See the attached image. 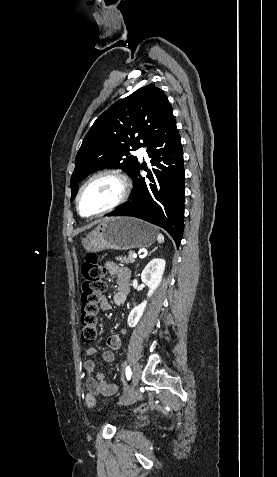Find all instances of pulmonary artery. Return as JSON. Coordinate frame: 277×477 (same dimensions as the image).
<instances>
[{
    "mask_svg": "<svg viewBox=\"0 0 277 477\" xmlns=\"http://www.w3.org/2000/svg\"><path fill=\"white\" fill-rule=\"evenodd\" d=\"M137 155L140 157V158H147L148 155H147V149L145 147H140L137 151H136Z\"/></svg>",
    "mask_w": 277,
    "mask_h": 477,
    "instance_id": "e3ab8cb5",
    "label": "pulmonary artery"
}]
</instances>
